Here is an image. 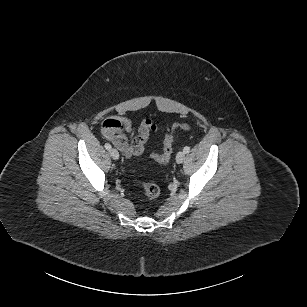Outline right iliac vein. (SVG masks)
Wrapping results in <instances>:
<instances>
[{
  "label": "right iliac vein",
  "mask_w": 307,
  "mask_h": 307,
  "mask_svg": "<svg viewBox=\"0 0 307 307\" xmlns=\"http://www.w3.org/2000/svg\"><path fill=\"white\" fill-rule=\"evenodd\" d=\"M109 154L114 160L119 158V152L115 148L110 149Z\"/></svg>",
  "instance_id": "1"
}]
</instances>
